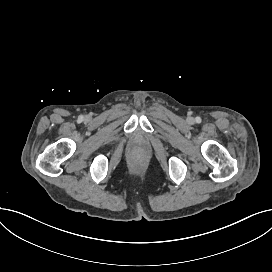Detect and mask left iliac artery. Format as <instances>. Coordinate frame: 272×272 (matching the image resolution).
<instances>
[{"label":"left iliac artery","instance_id":"obj_1","mask_svg":"<svg viewBox=\"0 0 272 272\" xmlns=\"http://www.w3.org/2000/svg\"><path fill=\"white\" fill-rule=\"evenodd\" d=\"M196 121H197V122H200V121H201V118H200V117H196Z\"/></svg>","mask_w":272,"mask_h":272}]
</instances>
